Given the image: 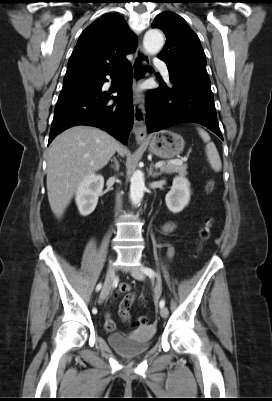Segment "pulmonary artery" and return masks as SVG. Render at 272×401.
Segmentation results:
<instances>
[{
    "label": "pulmonary artery",
    "mask_w": 272,
    "mask_h": 401,
    "mask_svg": "<svg viewBox=\"0 0 272 401\" xmlns=\"http://www.w3.org/2000/svg\"><path fill=\"white\" fill-rule=\"evenodd\" d=\"M154 66L158 67L161 69L163 76L168 79L169 78V72L168 69L166 67V64L163 60L161 59H155L154 60Z\"/></svg>",
    "instance_id": "obj_1"
}]
</instances>
